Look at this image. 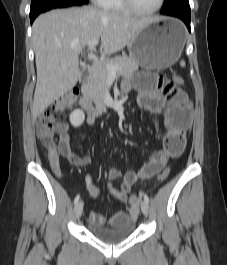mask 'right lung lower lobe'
Segmentation results:
<instances>
[{
    "mask_svg": "<svg viewBox=\"0 0 227 265\" xmlns=\"http://www.w3.org/2000/svg\"><path fill=\"white\" fill-rule=\"evenodd\" d=\"M83 4H87V3L82 2V1H65V2L56 3L55 5L51 6L47 10H50V9H53V8H64V7H70V6H75V5H83ZM37 16H38V14L30 15L31 23L34 21V19Z\"/></svg>",
    "mask_w": 227,
    "mask_h": 265,
    "instance_id": "obj_1",
    "label": "right lung lower lobe"
}]
</instances>
